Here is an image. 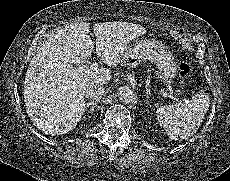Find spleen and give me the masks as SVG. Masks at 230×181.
Here are the masks:
<instances>
[{
	"label": "spleen",
	"mask_w": 230,
	"mask_h": 181,
	"mask_svg": "<svg viewBox=\"0 0 230 181\" xmlns=\"http://www.w3.org/2000/svg\"><path fill=\"white\" fill-rule=\"evenodd\" d=\"M208 104V95L201 92L183 102L159 107L156 116L170 139H188L199 128Z\"/></svg>",
	"instance_id": "3e777b00"
}]
</instances>
